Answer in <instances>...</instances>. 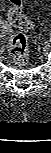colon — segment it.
<instances>
[{"label":"colon","mask_w":51,"mask_h":153,"mask_svg":"<svg viewBox=\"0 0 51 153\" xmlns=\"http://www.w3.org/2000/svg\"><path fill=\"white\" fill-rule=\"evenodd\" d=\"M8 11L9 24L20 32L9 36L8 50L14 61L19 65H25L28 61V44L25 35L21 32L31 29L32 24L22 12V0H10Z\"/></svg>","instance_id":"5ec220e1"}]
</instances>
